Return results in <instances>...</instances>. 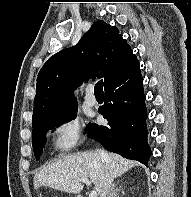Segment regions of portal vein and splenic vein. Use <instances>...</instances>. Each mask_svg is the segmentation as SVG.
Instances as JSON below:
<instances>
[{"label": "portal vein and splenic vein", "mask_w": 191, "mask_h": 197, "mask_svg": "<svg viewBox=\"0 0 191 197\" xmlns=\"http://www.w3.org/2000/svg\"><path fill=\"white\" fill-rule=\"evenodd\" d=\"M78 181H80L82 183H85L86 185H91V182L87 178H82V179H79ZM89 197H97V192L96 191H92L89 194Z\"/></svg>", "instance_id": "1"}]
</instances>
